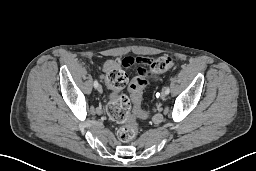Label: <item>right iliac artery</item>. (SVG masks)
<instances>
[{
	"label": "right iliac artery",
	"mask_w": 256,
	"mask_h": 171,
	"mask_svg": "<svg viewBox=\"0 0 256 171\" xmlns=\"http://www.w3.org/2000/svg\"><path fill=\"white\" fill-rule=\"evenodd\" d=\"M99 86V83L97 80L94 81V87L97 88Z\"/></svg>",
	"instance_id": "obj_1"
}]
</instances>
